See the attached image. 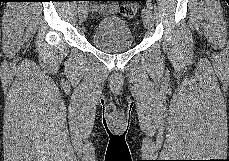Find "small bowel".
Returning <instances> with one entry per match:
<instances>
[{"mask_svg":"<svg viewBox=\"0 0 229 161\" xmlns=\"http://www.w3.org/2000/svg\"><path fill=\"white\" fill-rule=\"evenodd\" d=\"M117 10H118L117 5L113 3V4L109 5V7H107L103 12L104 13H114Z\"/></svg>","mask_w":229,"mask_h":161,"instance_id":"obj_1","label":"small bowel"}]
</instances>
